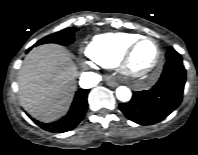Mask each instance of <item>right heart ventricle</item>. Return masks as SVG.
Returning a JSON list of instances; mask_svg holds the SVG:
<instances>
[{"label": "right heart ventricle", "mask_w": 198, "mask_h": 155, "mask_svg": "<svg viewBox=\"0 0 198 155\" xmlns=\"http://www.w3.org/2000/svg\"><path fill=\"white\" fill-rule=\"evenodd\" d=\"M140 35L128 32L105 33L94 36L85 52L95 63L111 68L118 61L128 45Z\"/></svg>", "instance_id": "1"}]
</instances>
